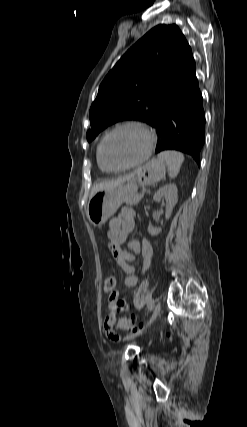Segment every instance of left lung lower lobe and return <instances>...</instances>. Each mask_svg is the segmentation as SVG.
Listing matches in <instances>:
<instances>
[{
	"label": "left lung lower lobe",
	"mask_w": 247,
	"mask_h": 427,
	"mask_svg": "<svg viewBox=\"0 0 247 427\" xmlns=\"http://www.w3.org/2000/svg\"><path fill=\"white\" fill-rule=\"evenodd\" d=\"M152 126L158 134L155 153L179 150L191 155L199 165L205 141V114L195 73L188 83L168 96Z\"/></svg>",
	"instance_id": "obj_1"
}]
</instances>
